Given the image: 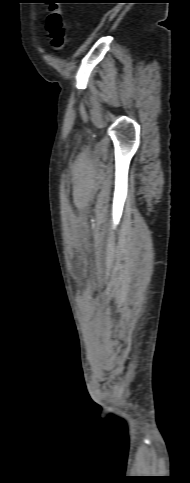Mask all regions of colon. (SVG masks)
Returning a JSON list of instances; mask_svg holds the SVG:
<instances>
[{
  "label": "colon",
  "mask_w": 190,
  "mask_h": 483,
  "mask_svg": "<svg viewBox=\"0 0 190 483\" xmlns=\"http://www.w3.org/2000/svg\"><path fill=\"white\" fill-rule=\"evenodd\" d=\"M46 31L50 39V46L55 51H61L67 43L66 28L62 12L59 9L51 10L47 17Z\"/></svg>",
  "instance_id": "colon-1"
}]
</instances>
